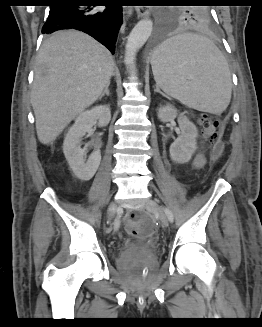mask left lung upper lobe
I'll list each match as a JSON object with an SVG mask.
<instances>
[{
	"label": "left lung upper lobe",
	"instance_id": "1",
	"mask_svg": "<svg viewBox=\"0 0 262 327\" xmlns=\"http://www.w3.org/2000/svg\"><path fill=\"white\" fill-rule=\"evenodd\" d=\"M180 3H204L205 0H177ZM161 29L171 28L179 23L184 25H210L212 18L210 10L206 6H187L182 9L161 10Z\"/></svg>",
	"mask_w": 262,
	"mask_h": 327
}]
</instances>
